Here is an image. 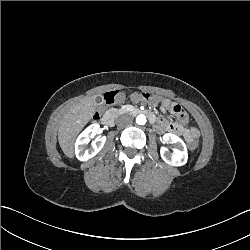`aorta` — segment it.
Masks as SVG:
<instances>
[{
	"label": "aorta",
	"mask_w": 250,
	"mask_h": 250,
	"mask_svg": "<svg viewBox=\"0 0 250 250\" xmlns=\"http://www.w3.org/2000/svg\"><path fill=\"white\" fill-rule=\"evenodd\" d=\"M146 121V116L144 114H140L136 117V123L138 125H145Z\"/></svg>",
	"instance_id": "obj_1"
}]
</instances>
